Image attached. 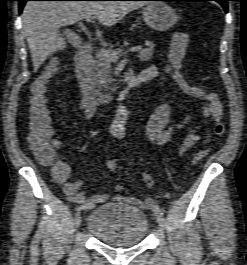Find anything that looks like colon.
<instances>
[{
	"mask_svg": "<svg viewBox=\"0 0 247 265\" xmlns=\"http://www.w3.org/2000/svg\"><path fill=\"white\" fill-rule=\"evenodd\" d=\"M189 43V36L184 32H177L173 35L167 57V64L170 67V74L177 86L195 96L203 102H207L208 92L191 85L181 73L182 62ZM57 70V61H52L43 73L34 81L30 89L28 109V134L27 140L36 159L46 165H54L56 177H63L67 174V166L61 161H55V154L59 147L57 140L53 138L50 127L49 114L46 108V92L48 83ZM224 133V125L221 121L213 125V134L219 138ZM208 149L199 150L193 157V163L200 162L207 154ZM107 167L115 172L118 168L116 160H108Z\"/></svg>",
	"mask_w": 247,
	"mask_h": 265,
	"instance_id": "obj_1",
	"label": "colon"
}]
</instances>
